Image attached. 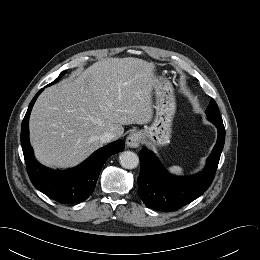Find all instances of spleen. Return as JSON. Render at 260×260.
Returning <instances> with one entry per match:
<instances>
[{"instance_id":"3e777b00","label":"spleen","mask_w":260,"mask_h":260,"mask_svg":"<svg viewBox=\"0 0 260 260\" xmlns=\"http://www.w3.org/2000/svg\"><path fill=\"white\" fill-rule=\"evenodd\" d=\"M168 170L176 175H182L183 174V169L179 166H171L168 168Z\"/></svg>"}]
</instances>
